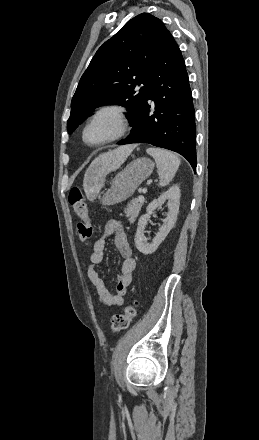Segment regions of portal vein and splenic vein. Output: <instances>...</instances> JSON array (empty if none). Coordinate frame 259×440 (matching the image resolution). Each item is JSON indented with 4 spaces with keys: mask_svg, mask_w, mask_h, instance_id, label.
<instances>
[{
    "mask_svg": "<svg viewBox=\"0 0 259 440\" xmlns=\"http://www.w3.org/2000/svg\"><path fill=\"white\" fill-rule=\"evenodd\" d=\"M138 200L141 201V202H143V201H144V196H143V195H140V196L138 197Z\"/></svg>",
    "mask_w": 259,
    "mask_h": 440,
    "instance_id": "obj_1",
    "label": "portal vein and splenic vein"
}]
</instances>
